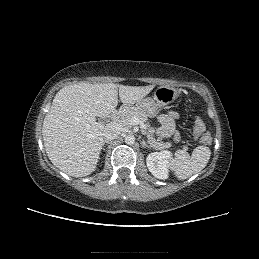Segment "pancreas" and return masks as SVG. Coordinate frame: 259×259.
I'll use <instances>...</instances> for the list:
<instances>
[{
	"label": "pancreas",
	"instance_id": "cf45deb5",
	"mask_svg": "<svg viewBox=\"0 0 259 259\" xmlns=\"http://www.w3.org/2000/svg\"><path fill=\"white\" fill-rule=\"evenodd\" d=\"M133 117L138 118L142 122L147 121V114L136 108H125L119 112V118H120L119 121L122 126L129 127L131 125L130 120ZM147 137H148V142L151 145V147H153L156 150H163V149L171 147V143H169V142H166V143L157 142L155 140V138L153 137V134L150 130H149V132H147ZM182 148L184 150L188 149V147L186 145H184Z\"/></svg>",
	"mask_w": 259,
	"mask_h": 259
}]
</instances>
